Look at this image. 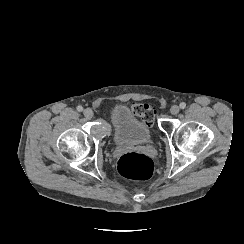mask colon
<instances>
[{
	"instance_id": "colon-1",
	"label": "colon",
	"mask_w": 244,
	"mask_h": 244,
	"mask_svg": "<svg viewBox=\"0 0 244 244\" xmlns=\"http://www.w3.org/2000/svg\"><path fill=\"white\" fill-rule=\"evenodd\" d=\"M133 111L142 118L147 126H152L155 118L153 110L146 109L143 105H134ZM118 169L125 178L148 180L153 176L154 162L147 155L130 152L120 157Z\"/></svg>"
}]
</instances>
